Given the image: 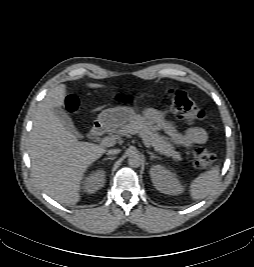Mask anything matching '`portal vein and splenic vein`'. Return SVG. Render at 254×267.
Instances as JSON below:
<instances>
[{
    "mask_svg": "<svg viewBox=\"0 0 254 267\" xmlns=\"http://www.w3.org/2000/svg\"><path fill=\"white\" fill-rule=\"evenodd\" d=\"M144 144L146 147H150V144L147 143L145 140H143ZM102 145L104 146H113L115 144V140L114 138H111V137H105L102 139Z\"/></svg>",
    "mask_w": 254,
    "mask_h": 267,
    "instance_id": "18ae733b",
    "label": "portal vein and splenic vein"
}]
</instances>
